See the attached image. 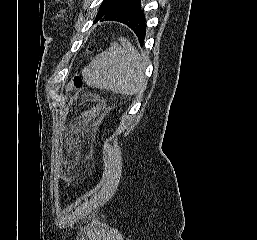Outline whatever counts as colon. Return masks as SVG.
I'll use <instances>...</instances> for the list:
<instances>
[{"label":"colon","instance_id":"5ec220e1","mask_svg":"<svg viewBox=\"0 0 257 240\" xmlns=\"http://www.w3.org/2000/svg\"><path fill=\"white\" fill-rule=\"evenodd\" d=\"M83 86V78L81 74H75L69 84V88H82Z\"/></svg>","mask_w":257,"mask_h":240}]
</instances>
